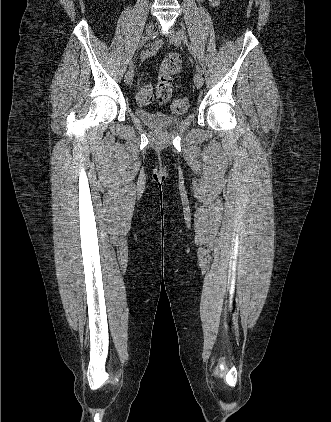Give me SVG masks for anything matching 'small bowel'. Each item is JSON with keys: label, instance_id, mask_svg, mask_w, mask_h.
Returning a JSON list of instances; mask_svg holds the SVG:
<instances>
[{"label": "small bowel", "instance_id": "small-bowel-1", "mask_svg": "<svg viewBox=\"0 0 331 422\" xmlns=\"http://www.w3.org/2000/svg\"><path fill=\"white\" fill-rule=\"evenodd\" d=\"M199 2H202L203 0H198ZM221 0H208L209 5L212 8H216L219 6ZM161 47V42L160 41H156L153 44H150L148 46V48L142 53L141 55V60L145 61L153 56H155L159 49ZM145 97L148 99V102H150L151 98H152V87L149 84H140L139 86V90H138V94H137V100L140 104L141 103V98ZM145 103V104H147Z\"/></svg>", "mask_w": 331, "mask_h": 422}]
</instances>
